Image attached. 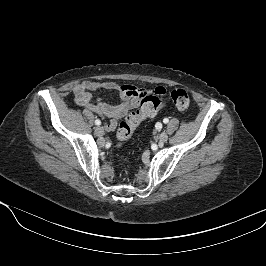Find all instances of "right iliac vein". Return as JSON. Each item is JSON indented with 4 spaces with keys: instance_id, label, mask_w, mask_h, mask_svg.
I'll list each match as a JSON object with an SVG mask.
<instances>
[{
    "instance_id": "63e3f726",
    "label": "right iliac vein",
    "mask_w": 266,
    "mask_h": 266,
    "mask_svg": "<svg viewBox=\"0 0 266 266\" xmlns=\"http://www.w3.org/2000/svg\"><path fill=\"white\" fill-rule=\"evenodd\" d=\"M95 134H96L97 136H102V135L104 134V130H103V128H102L101 126L96 127V128H95Z\"/></svg>"
}]
</instances>
